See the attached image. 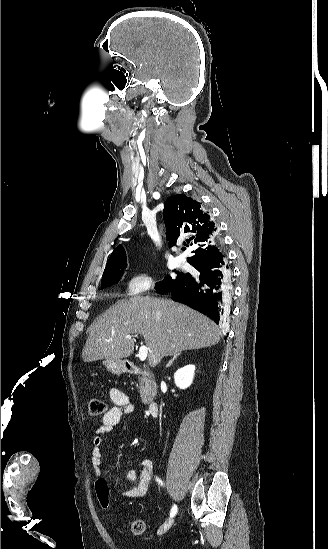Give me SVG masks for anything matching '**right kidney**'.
Returning <instances> with one entry per match:
<instances>
[{"label": "right kidney", "instance_id": "right-kidney-1", "mask_svg": "<svg viewBox=\"0 0 328 549\" xmlns=\"http://www.w3.org/2000/svg\"><path fill=\"white\" fill-rule=\"evenodd\" d=\"M194 371V365H186V367L178 369L174 375L176 387H179V389H187V387H190L193 381Z\"/></svg>", "mask_w": 328, "mask_h": 549}]
</instances>
